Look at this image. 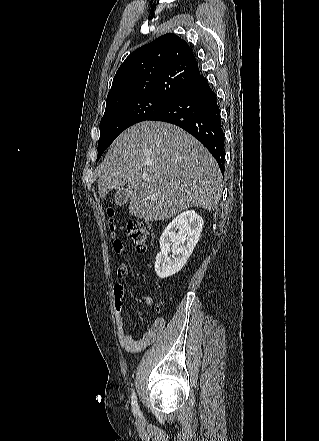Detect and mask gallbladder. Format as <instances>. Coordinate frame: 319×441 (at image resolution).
Wrapping results in <instances>:
<instances>
[{
	"label": "gallbladder",
	"instance_id": "bac80fb5",
	"mask_svg": "<svg viewBox=\"0 0 319 441\" xmlns=\"http://www.w3.org/2000/svg\"><path fill=\"white\" fill-rule=\"evenodd\" d=\"M115 202L119 206H123L129 199V191L126 187H120L115 193Z\"/></svg>",
	"mask_w": 319,
	"mask_h": 441
}]
</instances>
